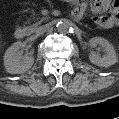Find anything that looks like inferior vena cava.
Wrapping results in <instances>:
<instances>
[{"label": "inferior vena cava", "instance_id": "inferior-vena-cava-1", "mask_svg": "<svg viewBox=\"0 0 119 119\" xmlns=\"http://www.w3.org/2000/svg\"><path fill=\"white\" fill-rule=\"evenodd\" d=\"M51 27H52L51 24H45L43 26L38 27L37 30H36V33L38 35H41V34L47 32L48 30H50Z\"/></svg>", "mask_w": 119, "mask_h": 119}]
</instances>
